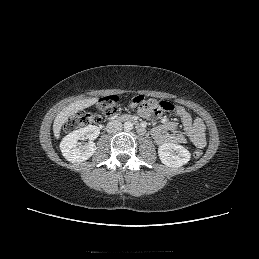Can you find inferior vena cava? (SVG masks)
<instances>
[{
	"label": "inferior vena cava",
	"mask_w": 259,
	"mask_h": 259,
	"mask_svg": "<svg viewBox=\"0 0 259 259\" xmlns=\"http://www.w3.org/2000/svg\"><path fill=\"white\" fill-rule=\"evenodd\" d=\"M122 123L119 120H112L106 126V131L110 134H115L121 131Z\"/></svg>",
	"instance_id": "obj_1"
}]
</instances>
